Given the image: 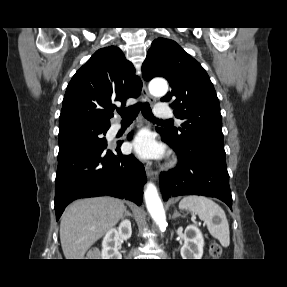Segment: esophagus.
I'll return each instance as SVG.
<instances>
[{
    "mask_svg": "<svg viewBox=\"0 0 287 287\" xmlns=\"http://www.w3.org/2000/svg\"><path fill=\"white\" fill-rule=\"evenodd\" d=\"M142 94L148 99L150 104L155 103L156 99L148 92L147 86L144 81L142 86ZM145 171L149 179L151 180L157 179L158 173L151 168L150 164L145 165Z\"/></svg>",
    "mask_w": 287,
    "mask_h": 287,
    "instance_id": "esophagus-1",
    "label": "esophagus"
}]
</instances>
